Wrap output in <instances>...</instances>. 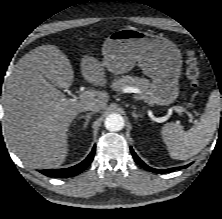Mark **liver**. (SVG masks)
Instances as JSON below:
<instances>
[{
    "instance_id": "6515ba94",
    "label": "liver",
    "mask_w": 222,
    "mask_h": 219,
    "mask_svg": "<svg viewBox=\"0 0 222 219\" xmlns=\"http://www.w3.org/2000/svg\"><path fill=\"white\" fill-rule=\"evenodd\" d=\"M84 79L94 85L107 83L104 65L96 58L81 59ZM74 71L67 56L54 45H42L25 54L15 65L4 95L3 127L13 152L34 169L59 167L68 153V130L83 107L99 101L106 109L108 93L85 98H65Z\"/></svg>"
}]
</instances>
